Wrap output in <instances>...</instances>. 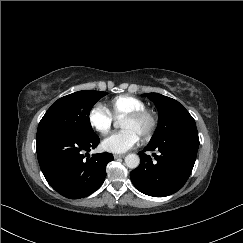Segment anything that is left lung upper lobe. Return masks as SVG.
Wrapping results in <instances>:
<instances>
[{"instance_id":"5c2ea615","label":"left lung upper lobe","mask_w":243,"mask_h":243,"mask_svg":"<svg viewBox=\"0 0 243 243\" xmlns=\"http://www.w3.org/2000/svg\"><path fill=\"white\" fill-rule=\"evenodd\" d=\"M142 96L151 99L158 108V126L150 142L163 139L177 131L195 125V120L178 101L158 93H148Z\"/></svg>"}]
</instances>
